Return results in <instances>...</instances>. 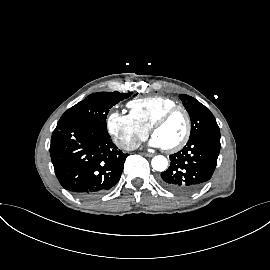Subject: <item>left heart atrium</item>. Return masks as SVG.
<instances>
[{
    "mask_svg": "<svg viewBox=\"0 0 270 270\" xmlns=\"http://www.w3.org/2000/svg\"><path fill=\"white\" fill-rule=\"evenodd\" d=\"M150 146L156 147V148H163L162 144L159 142V140L156 137H152L150 142Z\"/></svg>",
    "mask_w": 270,
    "mask_h": 270,
    "instance_id": "left-heart-atrium-1",
    "label": "left heart atrium"
}]
</instances>
